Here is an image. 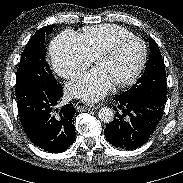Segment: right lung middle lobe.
<instances>
[{
	"instance_id": "right-lung-middle-lobe-1",
	"label": "right lung middle lobe",
	"mask_w": 183,
	"mask_h": 183,
	"mask_svg": "<svg viewBox=\"0 0 183 183\" xmlns=\"http://www.w3.org/2000/svg\"><path fill=\"white\" fill-rule=\"evenodd\" d=\"M54 25L38 30L29 40L18 64L16 75V98L25 96L29 89H50L57 85L45 60V36L52 32Z\"/></svg>"
}]
</instances>
